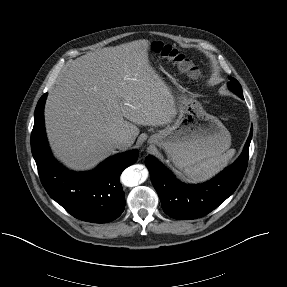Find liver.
<instances>
[{
  "label": "liver",
  "instance_id": "1",
  "mask_svg": "<svg viewBox=\"0 0 287 287\" xmlns=\"http://www.w3.org/2000/svg\"><path fill=\"white\" fill-rule=\"evenodd\" d=\"M148 40L106 47L68 63L49 93L45 126L55 156L88 170L114 153L112 140L160 126L177 114L175 98L148 59Z\"/></svg>",
  "mask_w": 287,
  "mask_h": 287
}]
</instances>
